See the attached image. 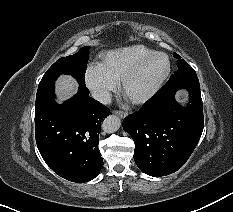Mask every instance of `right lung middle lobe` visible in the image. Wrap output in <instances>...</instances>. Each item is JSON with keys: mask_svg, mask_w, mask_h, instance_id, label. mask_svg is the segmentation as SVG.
Wrapping results in <instances>:
<instances>
[{"mask_svg": "<svg viewBox=\"0 0 233 212\" xmlns=\"http://www.w3.org/2000/svg\"><path fill=\"white\" fill-rule=\"evenodd\" d=\"M89 48L85 46L74 55L60 58L47 70L38 86L35 107L53 95L55 80L62 74L72 75L79 84L85 85Z\"/></svg>", "mask_w": 233, "mask_h": 212, "instance_id": "obj_1", "label": "right lung middle lobe"}]
</instances>
